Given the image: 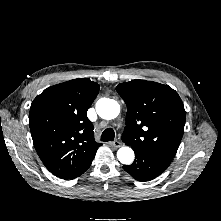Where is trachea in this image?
<instances>
[{"label":"trachea","mask_w":221,"mask_h":221,"mask_svg":"<svg viewBox=\"0 0 221 221\" xmlns=\"http://www.w3.org/2000/svg\"><path fill=\"white\" fill-rule=\"evenodd\" d=\"M115 137L114 130L112 128H107L103 131L101 135V141L107 142V141H113Z\"/></svg>","instance_id":"obj_1"}]
</instances>
